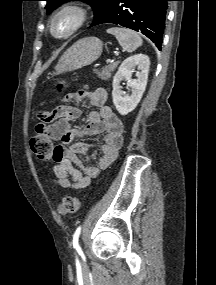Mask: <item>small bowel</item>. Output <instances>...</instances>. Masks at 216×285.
Wrapping results in <instances>:
<instances>
[{"mask_svg":"<svg viewBox=\"0 0 216 285\" xmlns=\"http://www.w3.org/2000/svg\"><path fill=\"white\" fill-rule=\"evenodd\" d=\"M74 102L89 101L98 109L88 115V123L84 128H76L73 123L80 117L81 112L75 106H63L54 113L40 115L43 122H53L48 127L40 124L36 133L40 136L47 134L51 139L61 141L56 146L53 158V173L56 182L63 188H86L101 169L107 168L117 157L123 143V123L119 117L106 104L107 91L97 88L90 91L80 89L71 95ZM85 135H100L101 143L98 145L102 155L97 164H84L79 158L80 154L87 153L92 144L73 142L76 137Z\"/></svg>","mask_w":216,"mask_h":285,"instance_id":"obj_1","label":"small bowel"}]
</instances>
